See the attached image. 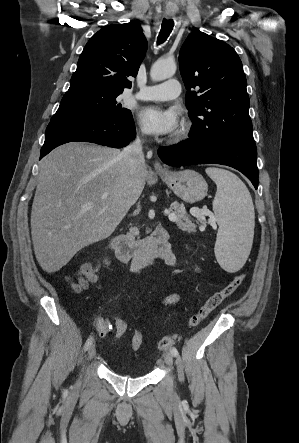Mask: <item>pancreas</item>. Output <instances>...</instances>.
<instances>
[{"instance_id": "obj_1", "label": "pancreas", "mask_w": 299, "mask_h": 443, "mask_svg": "<svg viewBox=\"0 0 299 443\" xmlns=\"http://www.w3.org/2000/svg\"><path fill=\"white\" fill-rule=\"evenodd\" d=\"M171 210L177 216L175 221L176 225L182 231H187L188 233L196 232V224L193 222L192 218L187 215L186 211L182 208V206L178 203H173L171 206ZM204 214L201 212H197L196 218L200 221L201 226L200 229H204L206 226V222L203 219ZM139 235V230L137 227H131L129 229L128 237L133 238Z\"/></svg>"}]
</instances>
